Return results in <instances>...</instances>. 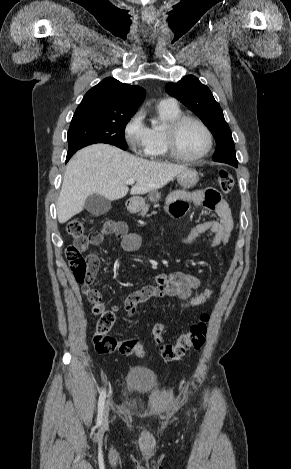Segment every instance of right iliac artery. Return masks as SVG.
I'll return each instance as SVG.
<instances>
[{"mask_svg":"<svg viewBox=\"0 0 291 469\" xmlns=\"http://www.w3.org/2000/svg\"><path fill=\"white\" fill-rule=\"evenodd\" d=\"M105 398H106V392H105V390H103L101 392L100 396H99V401H98V417H97V423L98 424H101V422H102Z\"/></svg>","mask_w":291,"mask_h":469,"instance_id":"right-iliac-artery-1","label":"right iliac artery"}]
</instances>
